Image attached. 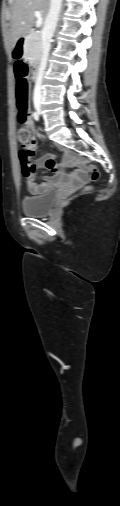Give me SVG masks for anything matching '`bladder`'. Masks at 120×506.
<instances>
[{"label":"bladder","instance_id":"obj_1","mask_svg":"<svg viewBox=\"0 0 120 506\" xmlns=\"http://www.w3.org/2000/svg\"><path fill=\"white\" fill-rule=\"evenodd\" d=\"M56 198L55 190H49L37 196H24L21 200L22 210L28 216H45L54 205Z\"/></svg>","mask_w":120,"mask_h":506}]
</instances>
